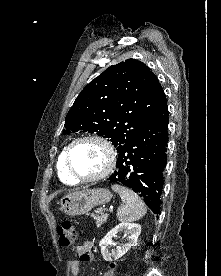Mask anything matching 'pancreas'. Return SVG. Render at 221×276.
<instances>
[{
  "mask_svg": "<svg viewBox=\"0 0 221 276\" xmlns=\"http://www.w3.org/2000/svg\"><path fill=\"white\" fill-rule=\"evenodd\" d=\"M91 217L95 219V223L99 227L107 221L108 215L100 212L99 215L91 214Z\"/></svg>",
  "mask_w": 221,
  "mask_h": 276,
  "instance_id": "cf45deb5",
  "label": "pancreas"
}]
</instances>
